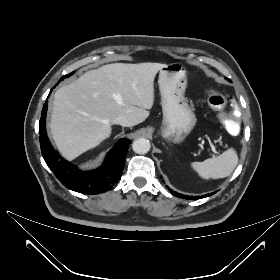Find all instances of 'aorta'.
<instances>
[{
  "label": "aorta",
  "mask_w": 280,
  "mask_h": 280,
  "mask_svg": "<svg viewBox=\"0 0 280 280\" xmlns=\"http://www.w3.org/2000/svg\"><path fill=\"white\" fill-rule=\"evenodd\" d=\"M150 142L145 138L136 139L132 144V149L137 154H145L150 150Z\"/></svg>",
  "instance_id": "1"
}]
</instances>
